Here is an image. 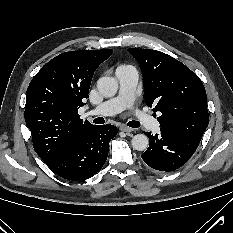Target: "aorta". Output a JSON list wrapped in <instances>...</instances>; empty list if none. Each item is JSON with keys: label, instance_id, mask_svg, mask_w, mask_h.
Segmentation results:
<instances>
[{"label": "aorta", "instance_id": "762f6f07", "mask_svg": "<svg viewBox=\"0 0 233 233\" xmlns=\"http://www.w3.org/2000/svg\"><path fill=\"white\" fill-rule=\"evenodd\" d=\"M97 89L104 97H112L118 90L117 80L113 77H101L97 81ZM132 147L137 151H144L148 148L149 140L145 134H137L132 138Z\"/></svg>", "mask_w": 233, "mask_h": 233}]
</instances>
